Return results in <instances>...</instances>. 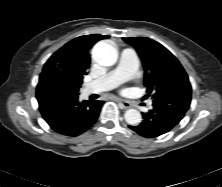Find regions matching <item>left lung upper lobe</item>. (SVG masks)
<instances>
[{
	"label": "left lung upper lobe",
	"instance_id": "5c2ea615",
	"mask_svg": "<svg viewBox=\"0 0 222 187\" xmlns=\"http://www.w3.org/2000/svg\"><path fill=\"white\" fill-rule=\"evenodd\" d=\"M123 40L138 52L144 65V84L147 93L152 94L153 99L178 91H191L185 70L164 46L146 37L123 38Z\"/></svg>",
	"mask_w": 222,
	"mask_h": 187
}]
</instances>
